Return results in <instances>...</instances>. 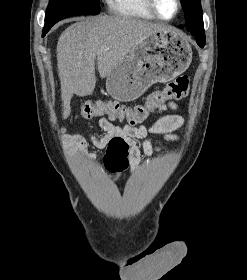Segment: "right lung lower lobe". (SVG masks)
Wrapping results in <instances>:
<instances>
[{
    "mask_svg": "<svg viewBox=\"0 0 247 280\" xmlns=\"http://www.w3.org/2000/svg\"><path fill=\"white\" fill-rule=\"evenodd\" d=\"M50 28H51V27H50ZM50 28H44V29H43V35H42V36H44V35L49 31Z\"/></svg>",
    "mask_w": 247,
    "mask_h": 280,
    "instance_id": "right-lung-lower-lobe-1",
    "label": "right lung lower lobe"
}]
</instances>
